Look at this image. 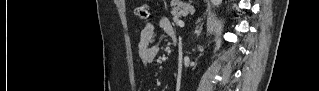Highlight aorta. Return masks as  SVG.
Returning a JSON list of instances; mask_svg holds the SVG:
<instances>
[{
    "label": "aorta",
    "mask_w": 319,
    "mask_h": 91,
    "mask_svg": "<svg viewBox=\"0 0 319 91\" xmlns=\"http://www.w3.org/2000/svg\"><path fill=\"white\" fill-rule=\"evenodd\" d=\"M222 0H212V4L218 7L221 4Z\"/></svg>",
    "instance_id": "obj_1"
}]
</instances>
